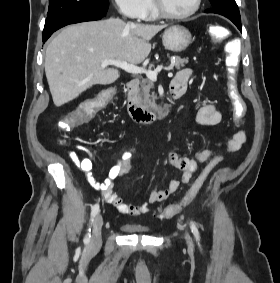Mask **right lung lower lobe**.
<instances>
[{
    "label": "right lung lower lobe",
    "instance_id": "right-lung-lower-lobe-1",
    "mask_svg": "<svg viewBox=\"0 0 280 283\" xmlns=\"http://www.w3.org/2000/svg\"><path fill=\"white\" fill-rule=\"evenodd\" d=\"M101 18L103 17L63 16L46 21L43 30V42H45L53 32L61 27L79 22L95 21Z\"/></svg>",
    "mask_w": 280,
    "mask_h": 283
}]
</instances>
